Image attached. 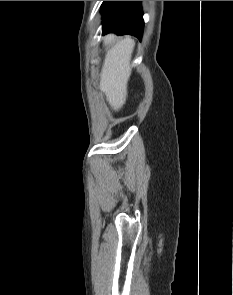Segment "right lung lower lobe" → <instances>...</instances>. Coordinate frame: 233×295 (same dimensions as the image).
<instances>
[{
    "label": "right lung lower lobe",
    "instance_id": "obj_1",
    "mask_svg": "<svg viewBox=\"0 0 233 295\" xmlns=\"http://www.w3.org/2000/svg\"><path fill=\"white\" fill-rule=\"evenodd\" d=\"M101 9L103 35L113 32L142 38L144 21L141 1H104Z\"/></svg>",
    "mask_w": 233,
    "mask_h": 295
}]
</instances>
